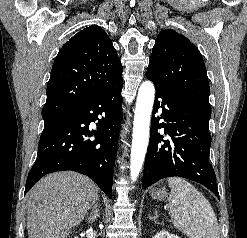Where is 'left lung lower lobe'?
<instances>
[{"mask_svg":"<svg viewBox=\"0 0 247 238\" xmlns=\"http://www.w3.org/2000/svg\"><path fill=\"white\" fill-rule=\"evenodd\" d=\"M146 76L155 84L156 96L151 125L153 133L145 159L142 188L146 189L162 178L177 176L201 183L219 197L215 172L209 162L210 117L172 96L149 75ZM159 108L162 113L155 117ZM162 127L171 140H162L163 136L157 132Z\"/></svg>","mask_w":247,"mask_h":238,"instance_id":"obj_1","label":"left lung lower lobe"}]
</instances>
